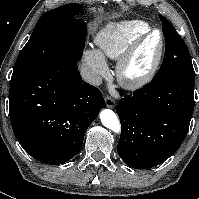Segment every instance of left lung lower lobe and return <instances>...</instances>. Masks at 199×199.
Listing matches in <instances>:
<instances>
[{
  "instance_id": "obj_1",
  "label": "left lung lower lobe",
  "mask_w": 199,
  "mask_h": 199,
  "mask_svg": "<svg viewBox=\"0 0 199 199\" xmlns=\"http://www.w3.org/2000/svg\"><path fill=\"white\" fill-rule=\"evenodd\" d=\"M195 77L151 81L119 101L117 152L130 167L156 166L175 153L189 130L194 110Z\"/></svg>"
}]
</instances>
